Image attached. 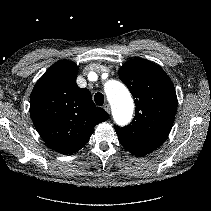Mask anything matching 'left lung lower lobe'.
<instances>
[{
	"mask_svg": "<svg viewBox=\"0 0 211 211\" xmlns=\"http://www.w3.org/2000/svg\"><path fill=\"white\" fill-rule=\"evenodd\" d=\"M121 145L136 156H144L157 149L158 145H141L119 139Z\"/></svg>",
	"mask_w": 211,
	"mask_h": 211,
	"instance_id": "0a47b994",
	"label": "left lung lower lobe"
}]
</instances>
